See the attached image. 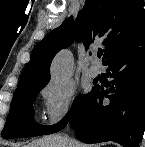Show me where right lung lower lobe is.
<instances>
[{"label": "right lung lower lobe", "mask_w": 145, "mask_h": 147, "mask_svg": "<svg viewBox=\"0 0 145 147\" xmlns=\"http://www.w3.org/2000/svg\"><path fill=\"white\" fill-rule=\"evenodd\" d=\"M103 64L108 66L112 85L106 90L95 86L69 124L84 143L114 141L139 147L145 130V28Z\"/></svg>", "instance_id": "98d812e1"}]
</instances>
